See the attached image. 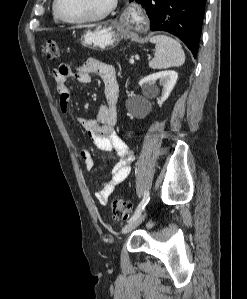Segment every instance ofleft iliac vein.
Masks as SVG:
<instances>
[{
	"label": "left iliac vein",
	"instance_id": "left-iliac-vein-1",
	"mask_svg": "<svg viewBox=\"0 0 247 299\" xmlns=\"http://www.w3.org/2000/svg\"><path fill=\"white\" fill-rule=\"evenodd\" d=\"M147 213L144 212L141 214L137 219L128 222L123 228H122V233L126 234L131 232L133 229H135L137 226H139L146 218Z\"/></svg>",
	"mask_w": 247,
	"mask_h": 299
}]
</instances>
